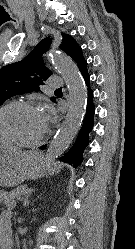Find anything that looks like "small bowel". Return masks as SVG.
Returning a JSON list of instances; mask_svg holds the SVG:
<instances>
[{
	"instance_id": "1",
	"label": "small bowel",
	"mask_w": 135,
	"mask_h": 249,
	"mask_svg": "<svg viewBox=\"0 0 135 249\" xmlns=\"http://www.w3.org/2000/svg\"><path fill=\"white\" fill-rule=\"evenodd\" d=\"M10 221V211L5 210L0 217V249L2 248V244L4 240L9 235L8 226Z\"/></svg>"
}]
</instances>
